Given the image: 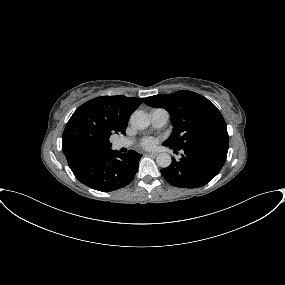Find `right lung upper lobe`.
Instances as JSON below:
<instances>
[{
	"label": "right lung upper lobe",
	"mask_w": 285,
	"mask_h": 285,
	"mask_svg": "<svg viewBox=\"0 0 285 285\" xmlns=\"http://www.w3.org/2000/svg\"><path fill=\"white\" fill-rule=\"evenodd\" d=\"M144 98L100 96L82 104L69 119L62 150L69 167L102 151L111 150L109 138L125 134L131 114Z\"/></svg>",
	"instance_id": "right-lung-upper-lobe-1"
}]
</instances>
